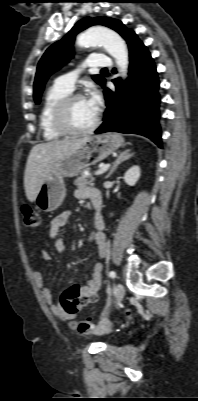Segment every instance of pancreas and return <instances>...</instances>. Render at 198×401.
Segmentation results:
<instances>
[{
  "label": "pancreas",
  "mask_w": 198,
  "mask_h": 401,
  "mask_svg": "<svg viewBox=\"0 0 198 401\" xmlns=\"http://www.w3.org/2000/svg\"><path fill=\"white\" fill-rule=\"evenodd\" d=\"M88 171V169H86ZM94 181V178L91 175H85L81 174L77 179L74 181V185L77 188H84L87 187L88 185H92Z\"/></svg>",
  "instance_id": "obj_1"
}]
</instances>
